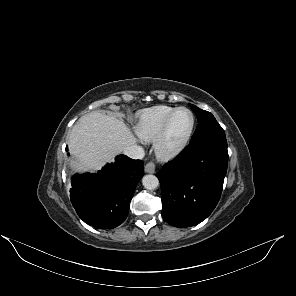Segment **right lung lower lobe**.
Instances as JSON below:
<instances>
[{"instance_id": "98d812e1", "label": "right lung lower lobe", "mask_w": 296, "mask_h": 296, "mask_svg": "<svg viewBox=\"0 0 296 296\" xmlns=\"http://www.w3.org/2000/svg\"><path fill=\"white\" fill-rule=\"evenodd\" d=\"M68 148H66L67 150ZM143 162L119 155L97 174L74 175L70 198L79 217L99 229H112L126 219Z\"/></svg>"}]
</instances>
